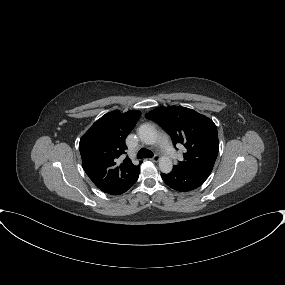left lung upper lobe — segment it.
<instances>
[{"label": "left lung upper lobe", "mask_w": 285, "mask_h": 285, "mask_svg": "<svg viewBox=\"0 0 285 285\" xmlns=\"http://www.w3.org/2000/svg\"><path fill=\"white\" fill-rule=\"evenodd\" d=\"M145 117L159 124L171 136L174 146L177 143L185 146L184 160L176 167L213 169L219 142L216 125L211 119L180 106L158 107Z\"/></svg>", "instance_id": "left-lung-upper-lobe-1"}]
</instances>
